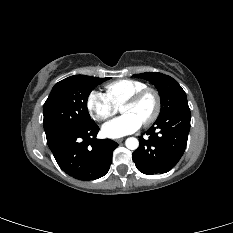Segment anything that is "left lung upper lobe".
<instances>
[{
    "instance_id": "obj_1",
    "label": "left lung upper lobe",
    "mask_w": 233,
    "mask_h": 233,
    "mask_svg": "<svg viewBox=\"0 0 233 233\" xmlns=\"http://www.w3.org/2000/svg\"><path fill=\"white\" fill-rule=\"evenodd\" d=\"M133 76L148 80L158 89L161 98L159 117L182 105L188 104L186 93L172 77L158 72H145Z\"/></svg>"
}]
</instances>
